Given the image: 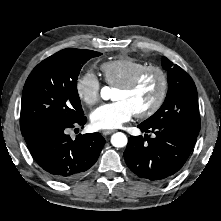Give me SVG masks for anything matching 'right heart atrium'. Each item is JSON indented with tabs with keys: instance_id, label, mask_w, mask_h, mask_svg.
<instances>
[{
	"instance_id": "1",
	"label": "right heart atrium",
	"mask_w": 221,
	"mask_h": 221,
	"mask_svg": "<svg viewBox=\"0 0 221 221\" xmlns=\"http://www.w3.org/2000/svg\"><path fill=\"white\" fill-rule=\"evenodd\" d=\"M75 90L83 103L92 106L100 99L101 83L94 72L87 71L77 78Z\"/></svg>"
}]
</instances>
